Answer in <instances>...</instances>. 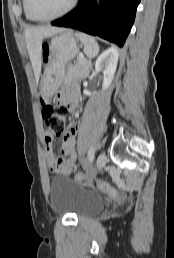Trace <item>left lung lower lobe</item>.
I'll list each match as a JSON object with an SVG mask.
<instances>
[{
	"mask_svg": "<svg viewBox=\"0 0 174 258\" xmlns=\"http://www.w3.org/2000/svg\"><path fill=\"white\" fill-rule=\"evenodd\" d=\"M139 3L140 0H80L72 12L51 24L78 29L122 47Z\"/></svg>",
	"mask_w": 174,
	"mask_h": 258,
	"instance_id": "1",
	"label": "left lung lower lobe"
}]
</instances>
